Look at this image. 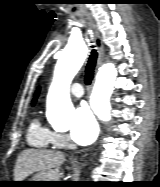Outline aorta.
<instances>
[{
    "label": "aorta",
    "mask_w": 160,
    "mask_h": 187,
    "mask_svg": "<svg viewBox=\"0 0 160 187\" xmlns=\"http://www.w3.org/2000/svg\"><path fill=\"white\" fill-rule=\"evenodd\" d=\"M87 56V48L83 42H69L62 51L54 71V77L47 96V115L53 122L64 117L73 109L70 99V85ZM117 77L113 63L100 67L90 97V105L94 113L102 121L110 120V97Z\"/></svg>",
    "instance_id": "aorta-1"
}]
</instances>
